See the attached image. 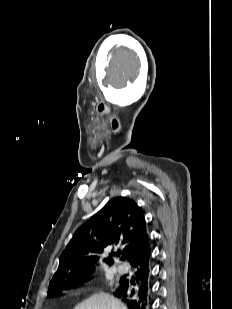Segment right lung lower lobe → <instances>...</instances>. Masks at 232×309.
Segmentation results:
<instances>
[{
    "label": "right lung lower lobe",
    "instance_id": "right-lung-lower-lobe-1",
    "mask_svg": "<svg viewBox=\"0 0 232 309\" xmlns=\"http://www.w3.org/2000/svg\"><path fill=\"white\" fill-rule=\"evenodd\" d=\"M150 257L151 253L132 264L134 276L122 278L120 286L113 293L130 309L150 308Z\"/></svg>",
    "mask_w": 232,
    "mask_h": 309
}]
</instances>
